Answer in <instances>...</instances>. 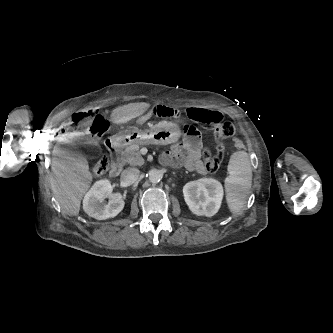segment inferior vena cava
Listing matches in <instances>:
<instances>
[{
	"label": "inferior vena cava",
	"instance_id": "1",
	"mask_svg": "<svg viewBox=\"0 0 333 333\" xmlns=\"http://www.w3.org/2000/svg\"><path fill=\"white\" fill-rule=\"evenodd\" d=\"M140 171L137 168H127L122 172L121 179L124 184L130 185L139 179Z\"/></svg>",
	"mask_w": 333,
	"mask_h": 333
}]
</instances>
